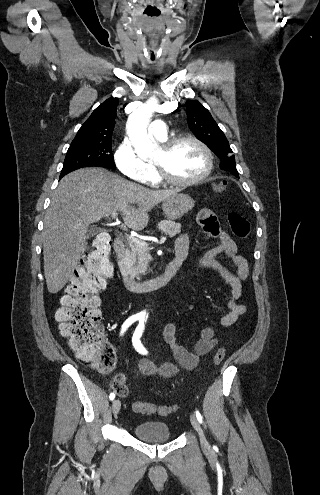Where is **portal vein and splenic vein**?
<instances>
[{"label":"portal vein and splenic vein","mask_w":320,"mask_h":495,"mask_svg":"<svg viewBox=\"0 0 320 495\" xmlns=\"http://www.w3.org/2000/svg\"><path fill=\"white\" fill-rule=\"evenodd\" d=\"M117 216H118V213H117V212H114V213H112L111 218H112V219H116V218H117ZM114 224H115V223H113V225H114ZM126 238H127V240H128L129 242H131V243H134V244H137V245H140V246H148V244H147L146 242L141 241V240H139V239H136V238H134V237H131V236H129V235H126ZM165 240H166V238H165V237H163V238L160 240V243H163Z\"/></svg>","instance_id":"obj_1"}]
</instances>
